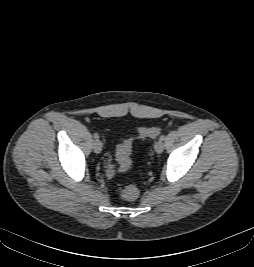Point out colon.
I'll list each match as a JSON object with an SVG mask.
<instances>
[{
	"label": "colon",
	"mask_w": 254,
	"mask_h": 267,
	"mask_svg": "<svg viewBox=\"0 0 254 267\" xmlns=\"http://www.w3.org/2000/svg\"><path fill=\"white\" fill-rule=\"evenodd\" d=\"M161 129L159 127H144L138 130L136 138L146 139V138H155ZM134 138L124 139L118 146L116 150V158L119 164V171L126 172L130 169L131 166V149ZM120 195L123 199L128 201L136 200L139 196V190L134 185H127L121 189Z\"/></svg>",
	"instance_id": "obj_1"
}]
</instances>
